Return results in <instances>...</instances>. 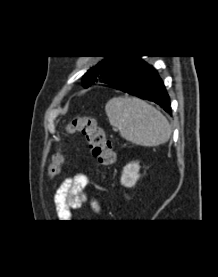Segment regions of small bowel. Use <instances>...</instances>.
<instances>
[{"label":"small bowel","mask_w":218,"mask_h":277,"mask_svg":"<svg viewBox=\"0 0 218 277\" xmlns=\"http://www.w3.org/2000/svg\"><path fill=\"white\" fill-rule=\"evenodd\" d=\"M88 184V176L78 173L60 185L55 195V209L60 219H69L71 210L80 208L88 200L85 192ZM95 187L102 190L100 185L96 184ZM90 204L94 210H99V204L96 201L91 200Z\"/></svg>","instance_id":"small-bowel-1"}]
</instances>
